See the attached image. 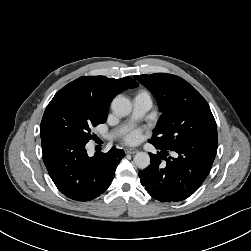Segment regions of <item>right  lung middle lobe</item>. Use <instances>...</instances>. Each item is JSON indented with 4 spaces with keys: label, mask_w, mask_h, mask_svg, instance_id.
Masks as SVG:
<instances>
[{
    "label": "right lung middle lobe",
    "mask_w": 251,
    "mask_h": 251,
    "mask_svg": "<svg viewBox=\"0 0 251 251\" xmlns=\"http://www.w3.org/2000/svg\"><path fill=\"white\" fill-rule=\"evenodd\" d=\"M107 114L98 111L88 100L69 91H58L44 112L40 136H61L87 143L92 127L105 123Z\"/></svg>",
    "instance_id": "1"
}]
</instances>
